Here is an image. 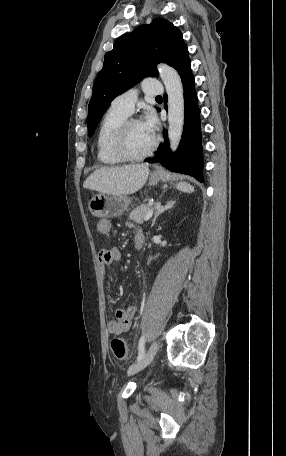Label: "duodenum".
Returning a JSON list of instances; mask_svg holds the SVG:
<instances>
[{
  "mask_svg": "<svg viewBox=\"0 0 286 456\" xmlns=\"http://www.w3.org/2000/svg\"><path fill=\"white\" fill-rule=\"evenodd\" d=\"M144 241H145V238H144V235H137L135 236L134 238V246L137 250L141 249L144 245Z\"/></svg>",
  "mask_w": 286,
  "mask_h": 456,
  "instance_id": "410a0bca",
  "label": "duodenum"
}]
</instances>
